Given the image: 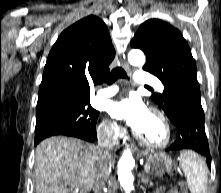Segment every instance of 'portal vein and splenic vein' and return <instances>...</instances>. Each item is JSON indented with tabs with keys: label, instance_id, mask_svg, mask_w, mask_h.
<instances>
[{
	"label": "portal vein and splenic vein",
	"instance_id": "obj_1",
	"mask_svg": "<svg viewBox=\"0 0 221 193\" xmlns=\"http://www.w3.org/2000/svg\"><path fill=\"white\" fill-rule=\"evenodd\" d=\"M149 169H150V165H149V164H146V165H145V171L148 172Z\"/></svg>",
	"mask_w": 221,
	"mask_h": 193
}]
</instances>
